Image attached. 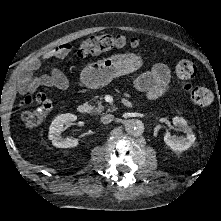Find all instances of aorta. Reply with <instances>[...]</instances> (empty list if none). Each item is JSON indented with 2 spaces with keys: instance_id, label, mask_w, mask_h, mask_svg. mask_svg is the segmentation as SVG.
I'll list each match as a JSON object with an SVG mask.
<instances>
[{
  "instance_id": "aorta-1",
  "label": "aorta",
  "mask_w": 221,
  "mask_h": 221,
  "mask_svg": "<svg viewBox=\"0 0 221 221\" xmlns=\"http://www.w3.org/2000/svg\"><path fill=\"white\" fill-rule=\"evenodd\" d=\"M124 126L127 134L132 136H140L144 132V124L138 119H129Z\"/></svg>"
}]
</instances>
